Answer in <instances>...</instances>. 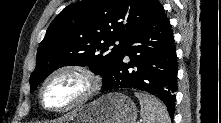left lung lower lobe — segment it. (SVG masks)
<instances>
[{"instance_id": "left-lung-lower-lobe-1", "label": "left lung lower lobe", "mask_w": 221, "mask_h": 123, "mask_svg": "<svg viewBox=\"0 0 221 123\" xmlns=\"http://www.w3.org/2000/svg\"><path fill=\"white\" fill-rule=\"evenodd\" d=\"M128 55L130 61L123 62ZM177 57L170 21L158 2L129 37L120 57L103 79L101 91L140 89L160 98L171 117L175 113Z\"/></svg>"}]
</instances>
